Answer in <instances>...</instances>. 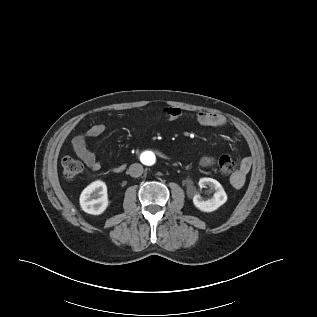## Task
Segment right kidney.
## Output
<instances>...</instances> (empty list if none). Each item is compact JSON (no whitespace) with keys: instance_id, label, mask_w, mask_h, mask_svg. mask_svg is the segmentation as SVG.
I'll use <instances>...</instances> for the list:
<instances>
[{"instance_id":"ca27d5eb","label":"right kidney","mask_w":317,"mask_h":317,"mask_svg":"<svg viewBox=\"0 0 317 317\" xmlns=\"http://www.w3.org/2000/svg\"><path fill=\"white\" fill-rule=\"evenodd\" d=\"M80 206L86 213L102 214L109 205L105 182L97 180L89 184L81 193Z\"/></svg>"}]
</instances>
